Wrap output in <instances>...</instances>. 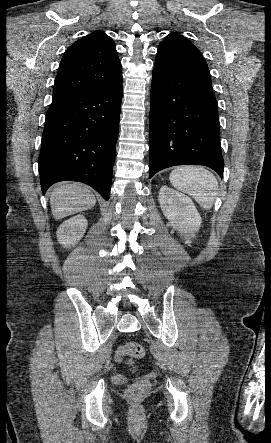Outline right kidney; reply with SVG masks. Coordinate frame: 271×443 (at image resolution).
Listing matches in <instances>:
<instances>
[{
  "instance_id": "right-kidney-1",
  "label": "right kidney",
  "mask_w": 271,
  "mask_h": 443,
  "mask_svg": "<svg viewBox=\"0 0 271 443\" xmlns=\"http://www.w3.org/2000/svg\"><path fill=\"white\" fill-rule=\"evenodd\" d=\"M87 223L84 216H74L61 223L56 231L59 243H62L63 247H73L83 237Z\"/></svg>"
}]
</instances>
